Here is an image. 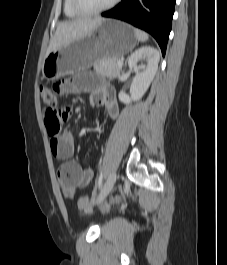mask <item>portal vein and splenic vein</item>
Returning <instances> with one entry per match:
<instances>
[{
  "mask_svg": "<svg viewBox=\"0 0 227 265\" xmlns=\"http://www.w3.org/2000/svg\"><path fill=\"white\" fill-rule=\"evenodd\" d=\"M117 65H118L119 67H121V66L123 65V62H122V61H118V62H117Z\"/></svg>",
  "mask_w": 227,
  "mask_h": 265,
  "instance_id": "obj_1",
  "label": "portal vein and splenic vein"
}]
</instances>
